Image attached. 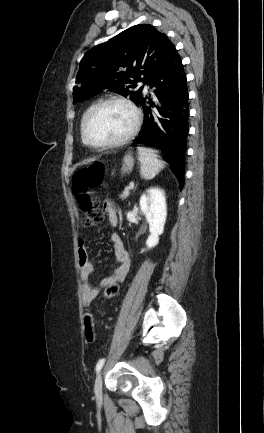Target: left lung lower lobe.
I'll return each instance as SVG.
<instances>
[{
	"instance_id": "0a47b994",
	"label": "left lung lower lobe",
	"mask_w": 264,
	"mask_h": 433,
	"mask_svg": "<svg viewBox=\"0 0 264 433\" xmlns=\"http://www.w3.org/2000/svg\"><path fill=\"white\" fill-rule=\"evenodd\" d=\"M155 88L137 104L144 111L143 128L133 140L160 149L183 187L185 151L189 131L187 79L176 49L171 51L159 71L147 83Z\"/></svg>"
}]
</instances>
